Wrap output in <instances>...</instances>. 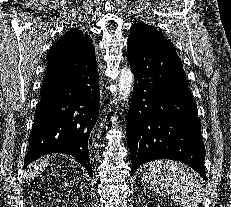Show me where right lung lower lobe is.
<instances>
[{
    "instance_id": "obj_1",
    "label": "right lung lower lobe",
    "mask_w": 231,
    "mask_h": 207,
    "mask_svg": "<svg viewBox=\"0 0 231 207\" xmlns=\"http://www.w3.org/2000/svg\"><path fill=\"white\" fill-rule=\"evenodd\" d=\"M95 55L72 70L46 69L24 167L42 155H72L93 174L88 141L99 115Z\"/></svg>"
}]
</instances>
